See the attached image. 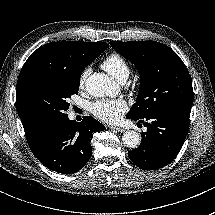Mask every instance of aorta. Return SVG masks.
<instances>
[{"mask_svg":"<svg viewBox=\"0 0 215 215\" xmlns=\"http://www.w3.org/2000/svg\"><path fill=\"white\" fill-rule=\"evenodd\" d=\"M113 83L104 73H94L85 82L86 91L94 97H104L111 91ZM124 146L135 149L141 143V136L134 130L126 131L122 136Z\"/></svg>","mask_w":215,"mask_h":215,"instance_id":"aorta-1","label":"aorta"}]
</instances>
